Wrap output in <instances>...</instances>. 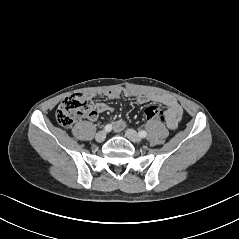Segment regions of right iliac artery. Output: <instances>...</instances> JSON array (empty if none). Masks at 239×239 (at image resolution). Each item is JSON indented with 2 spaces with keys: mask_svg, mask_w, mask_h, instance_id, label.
<instances>
[{
  "mask_svg": "<svg viewBox=\"0 0 239 239\" xmlns=\"http://www.w3.org/2000/svg\"><path fill=\"white\" fill-rule=\"evenodd\" d=\"M104 130H105L106 132H110V131L112 130V125H111V124H107V125L105 126Z\"/></svg>",
  "mask_w": 239,
  "mask_h": 239,
  "instance_id": "1",
  "label": "right iliac artery"
}]
</instances>
